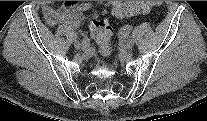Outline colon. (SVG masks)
<instances>
[{
    "mask_svg": "<svg viewBox=\"0 0 207 121\" xmlns=\"http://www.w3.org/2000/svg\"><path fill=\"white\" fill-rule=\"evenodd\" d=\"M159 5L157 1H117L112 7V13L116 17L132 16L149 12L153 7ZM93 40L99 46L100 53L107 56L111 52L112 28L108 20L95 18L90 25Z\"/></svg>",
    "mask_w": 207,
    "mask_h": 121,
    "instance_id": "5ec220e1",
    "label": "colon"
}]
</instances>
